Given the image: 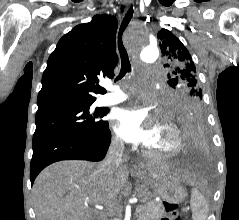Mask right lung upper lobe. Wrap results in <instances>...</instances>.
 I'll list each match as a JSON object with an SVG mask.
<instances>
[{
  "label": "right lung upper lobe",
  "mask_w": 239,
  "mask_h": 220,
  "mask_svg": "<svg viewBox=\"0 0 239 220\" xmlns=\"http://www.w3.org/2000/svg\"><path fill=\"white\" fill-rule=\"evenodd\" d=\"M115 17L96 15L64 35L51 53L42 76L38 109L93 103L104 93L98 76H114L117 64Z\"/></svg>",
  "instance_id": "right-lung-upper-lobe-1"
}]
</instances>
